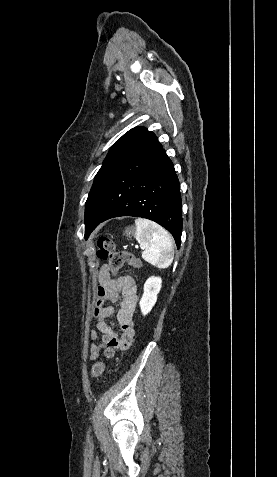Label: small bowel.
<instances>
[{
	"label": "small bowel",
	"instance_id": "1",
	"mask_svg": "<svg viewBox=\"0 0 277 477\" xmlns=\"http://www.w3.org/2000/svg\"><path fill=\"white\" fill-rule=\"evenodd\" d=\"M98 279L99 286L95 293L93 308L96 330L89 331L90 338L95 341L89 346L90 361L97 360L106 347L127 348L135 334L133 322L137 304L135 280L130 276L113 278L107 265L101 267ZM107 301L119 303L116 325L107 321L115 312L113 306L105 305ZM114 327H117L119 337ZM98 332L101 333V338Z\"/></svg>",
	"mask_w": 277,
	"mask_h": 477
}]
</instances>
